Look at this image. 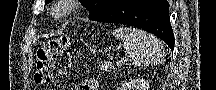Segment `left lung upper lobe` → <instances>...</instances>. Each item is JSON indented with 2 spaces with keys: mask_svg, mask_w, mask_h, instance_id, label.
Returning a JSON list of instances; mask_svg holds the SVG:
<instances>
[{
  "mask_svg": "<svg viewBox=\"0 0 216 90\" xmlns=\"http://www.w3.org/2000/svg\"><path fill=\"white\" fill-rule=\"evenodd\" d=\"M124 0H80V2L87 8L89 11V19L93 20L101 13L112 9L119 4H121ZM51 0H45V4H48Z\"/></svg>",
  "mask_w": 216,
  "mask_h": 90,
  "instance_id": "1",
  "label": "left lung upper lobe"
}]
</instances>
